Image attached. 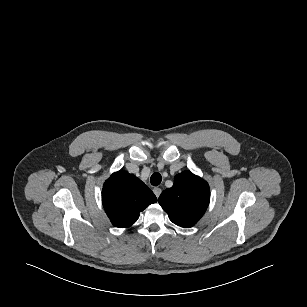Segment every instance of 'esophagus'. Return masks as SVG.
Returning <instances> with one entry per match:
<instances>
[{"label": "esophagus", "instance_id": "obj_1", "mask_svg": "<svg viewBox=\"0 0 307 307\" xmlns=\"http://www.w3.org/2000/svg\"><path fill=\"white\" fill-rule=\"evenodd\" d=\"M153 192L156 195V197L158 198L162 192L161 188L155 187L153 188Z\"/></svg>", "mask_w": 307, "mask_h": 307}]
</instances>
